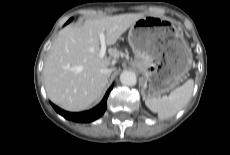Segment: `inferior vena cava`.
Returning a JSON list of instances; mask_svg holds the SVG:
<instances>
[{
  "label": "inferior vena cava",
  "mask_w": 230,
  "mask_h": 155,
  "mask_svg": "<svg viewBox=\"0 0 230 155\" xmlns=\"http://www.w3.org/2000/svg\"><path fill=\"white\" fill-rule=\"evenodd\" d=\"M111 71H112L111 69H108V68H107V69H105V73H106V74H108V76H110Z\"/></svg>",
  "instance_id": "602c4592"
}]
</instances>
